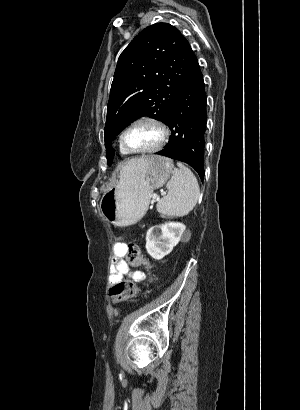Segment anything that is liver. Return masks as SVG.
I'll return each instance as SVG.
<instances>
[{
	"label": "liver",
	"instance_id": "obj_1",
	"mask_svg": "<svg viewBox=\"0 0 300 410\" xmlns=\"http://www.w3.org/2000/svg\"><path fill=\"white\" fill-rule=\"evenodd\" d=\"M146 159H147V156L131 159L126 163V166L130 168V167H135L136 165H141L145 162Z\"/></svg>",
	"mask_w": 300,
	"mask_h": 410
}]
</instances>
